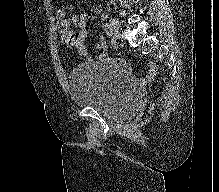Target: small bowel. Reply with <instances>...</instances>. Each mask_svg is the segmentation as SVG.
<instances>
[{
    "label": "small bowel",
    "instance_id": "small-bowel-1",
    "mask_svg": "<svg viewBox=\"0 0 219 192\" xmlns=\"http://www.w3.org/2000/svg\"><path fill=\"white\" fill-rule=\"evenodd\" d=\"M59 17H62V14H59ZM67 21V20H66ZM68 28L60 29L61 39L64 46L67 49H75L78 51L79 55L84 58L86 61H92L91 56L89 55L85 40L87 37L86 25H87V15L85 13H81L79 15H73L70 18V21H67ZM69 24L73 25V29L69 27ZM95 46L99 51L98 62L106 63L109 61L107 56V45L103 37L97 38L95 42ZM125 69L129 70L130 66L124 64ZM158 72V67L156 63H150L148 71L145 75L144 81L151 82Z\"/></svg>",
    "mask_w": 219,
    "mask_h": 192
}]
</instances>
